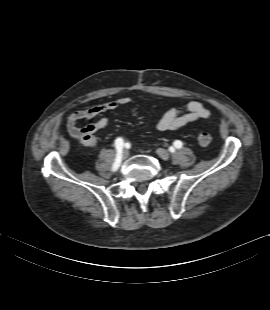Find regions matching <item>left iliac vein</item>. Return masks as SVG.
<instances>
[{"instance_id":"4c4485c4","label":"left iliac vein","mask_w":270,"mask_h":310,"mask_svg":"<svg viewBox=\"0 0 270 310\" xmlns=\"http://www.w3.org/2000/svg\"><path fill=\"white\" fill-rule=\"evenodd\" d=\"M157 154L159 155L160 158H162L163 160H168L170 155L169 152L163 148H159L157 149Z\"/></svg>"}]
</instances>
